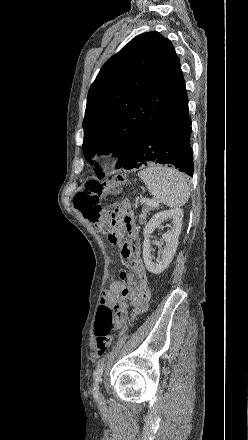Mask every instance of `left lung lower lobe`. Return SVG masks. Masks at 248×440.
<instances>
[{
  "label": "left lung lower lobe",
  "instance_id": "0a47b994",
  "mask_svg": "<svg viewBox=\"0 0 248 440\" xmlns=\"http://www.w3.org/2000/svg\"><path fill=\"white\" fill-rule=\"evenodd\" d=\"M190 136L191 119L185 93L157 121L146 128L119 167L133 169L147 165L148 162H155L170 164L193 176Z\"/></svg>",
  "mask_w": 248,
  "mask_h": 440
}]
</instances>
